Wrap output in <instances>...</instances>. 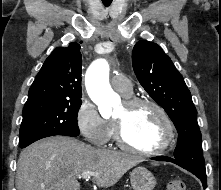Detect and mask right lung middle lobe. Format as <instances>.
Listing matches in <instances>:
<instances>
[{
  "mask_svg": "<svg viewBox=\"0 0 221 190\" xmlns=\"http://www.w3.org/2000/svg\"><path fill=\"white\" fill-rule=\"evenodd\" d=\"M81 100L49 101L25 105L20 127L21 148L49 136L76 137L80 134L77 114Z\"/></svg>",
  "mask_w": 221,
  "mask_h": 190,
  "instance_id": "dd1d6c3e",
  "label": "right lung middle lobe"
}]
</instances>
